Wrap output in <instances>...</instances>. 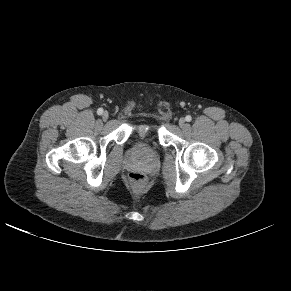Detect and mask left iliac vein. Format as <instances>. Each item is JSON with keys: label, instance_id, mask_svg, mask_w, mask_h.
<instances>
[{"label": "left iliac vein", "instance_id": "4c4485c4", "mask_svg": "<svg viewBox=\"0 0 291 291\" xmlns=\"http://www.w3.org/2000/svg\"><path fill=\"white\" fill-rule=\"evenodd\" d=\"M179 126H180L181 128H185V126H186V122H185V119H184V118H181V119L179 120Z\"/></svg>", "mask_w": 291, "mask_h": 291}]
</instances>
